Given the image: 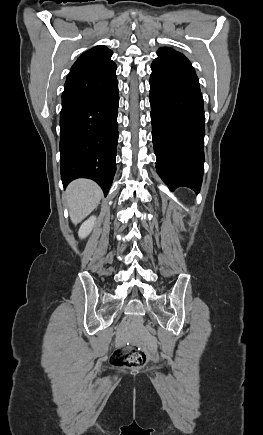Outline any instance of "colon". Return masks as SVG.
<instances>
[{"mask_svg":"<svg viewBox=\"0 0 263 435\" xmlns=\"http://www.w3.org/2000/svg\"><path fill=\"white\" fill-rule=\"evenodd\" d=\"M144 328L147 329L151 335L156 334V331L153 330L149 324H145ZM111 362L114 366L118 367L138 368L143 366L146 362V354L134 345H127L117 349L112 354Z\"/></svg>","mask_w":263,"mask_h":435,"instance_id":"colon-1","label":"colon"}]
</instances>
